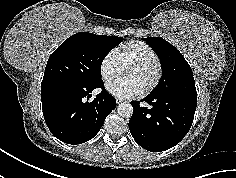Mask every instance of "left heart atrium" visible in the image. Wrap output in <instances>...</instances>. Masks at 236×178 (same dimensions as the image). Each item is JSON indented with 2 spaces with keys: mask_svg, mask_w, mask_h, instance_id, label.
Masks as SVG:
<instances>
[{
  "mask_svg": "<svg viewBox=\"0 0 236 178\" xmlns=\"http://www.w3.org/2000/svg\"><path fill=\"white\" fill-rule=\"evenodd\" d=\"M107 90L119 98H131L141 94L142 89L132 79L123 78L107 84Z\"/></svg>",
  "mask_w": 236,
  "mask_h": 178,
  "instance_id": "1",
  "label": "left heart atrium"
}]
</instances>
